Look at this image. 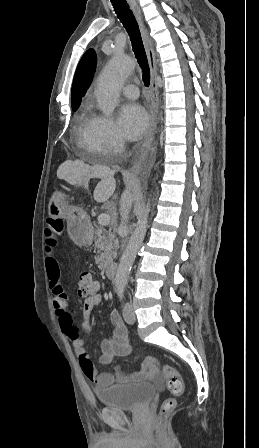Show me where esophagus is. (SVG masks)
Instances as JSON below:
<instances>
[{"instance_id":"34e87169","label":"esophagus","mask_w":259,"mask_h":448,"mask_svg":"<svg viewBox=\"0 0 259 448\" xmlns=\"http://www.w3.org/2000/svg\"><path fill=\"white\" fill-rule=\"evenodd\" d=\"M130 4V7L132 8L139 24L142 30V35L144 39V44L148 56V63L150 65V71H151V91H152V115H151V126L150 129L147 132L146 139L143 143L139 161L134 165L132 168V172L134 174H139L141 171V162L145 159V157L148 154V149L152 143L154 132L157 126V110L159 105V92H158V85H157V65H156V57L154 53V49L152 46L151 39L147 33V30L145 28V25L142 20L141 10L136 2V0H127Z\"/></svg>"}]
</instances>
